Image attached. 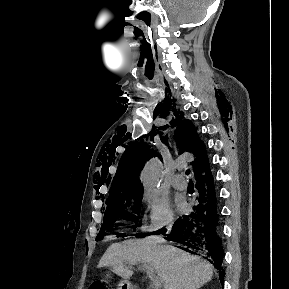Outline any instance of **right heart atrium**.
<instances>
[{
  "instance_id": "right-heart-atrium-1",
  "label": "right heart atrium",
  "mask_w": 289,
  "mask_h": 289,
  "mask_svg": "<svg viewBox=\"0 0 289 289\" xmlns=\"http://www.w3.org/2000/svg\"><path fill=\"white\" fill-rule=\"evenodd\" d=\"M147 216L142 229L155 232L166 228L174 222V213L168 197L158 191H148L143 196Z\"/></svg>"
}]
</instances>
